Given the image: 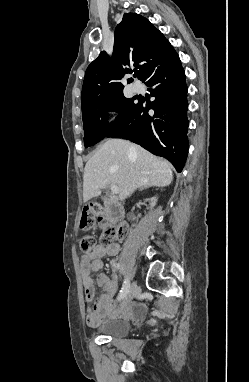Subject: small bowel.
Listing matches in <instances>:
<instances>
[{"mask_svg": "<svg viewBox=\"0 0 249 382\" xmlns=\"http://www.w3.org/2000/svg\"><path fill=\"white\" fill-rule=\"evenodd\" d=\"M119 251L120 245L118 243H113L106 247L97 244L91 251L85 252L80 258L79 266L85 300L87 304H89L86 314V323L88 326H95L115 313L130 314L134 312L136 308L129 303L124 306H121V304L117 306L115 304L114 299L117 294V284L114 279L109 278L105 273H99L97 276V282L98 285L102 287L103 294L93 303L95 286L91 273L98 272L103 268L104 257L115 256Z\"/></svg>", "mask_w": 249, "mask_h": 382, "instance_id": "small-bowel-1", "label": "small bowel"}]
</instances>
